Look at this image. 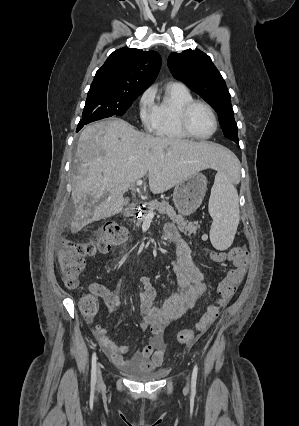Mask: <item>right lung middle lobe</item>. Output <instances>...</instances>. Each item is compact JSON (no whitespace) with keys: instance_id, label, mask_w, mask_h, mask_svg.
<instances>
[{"instance_id":"obj_1","label":"right lung middle lobe","mask_w":299,"mask_h":426,"mask_svg":"<svg viewBox=\"0 0 299 426\" xmlns=\"http://www.w3.org/2000/svg\"><path fill=\"white\" fill-rule=\"evenodd\" d=\"M143 92H125L104 86H91L79 124L113 115L122 116Z\"/></svg>"}]
</instances>
